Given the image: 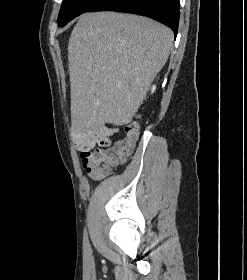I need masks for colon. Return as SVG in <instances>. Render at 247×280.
<instances>
[{
	"instance_id": "colon-1",
	"label": "colon",
	"mask_w": 247,
	"mask_h": 280,
	"mask_svg": "<svg viewBox=\"0 0 247 280\" xmlns=\"http://www.w3.org/2000/svg\"><path fill=\"white\" fill-rule=\"evenodd\" d=\"M126 137L117 139L104 148H96L83 157L84 167L95 177H103L110 172L112 166L125 160L139 135V123L137 120H129L126 123Z\"/></svg>"
}]
</instances>
